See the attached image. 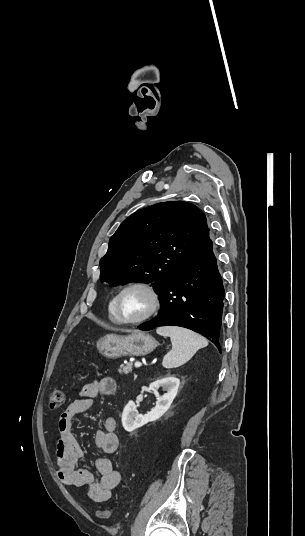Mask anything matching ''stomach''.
Wrapping results in <instances>:
<instances>
[{
    "instance_id": "1",
    "label": "stomach",
    "mask_w": 305,
    "mask_h": 536,
    "mask_svg": "<svg viewBox=\"0 0 305 536\" xmlns=\"http://www.w3.org/2000/svg\"><path fill=\"white\" fill-rule=\"evenodd\" d=\"M99 354L105 358H121V356H146L157 348V342L145 332H133L130 336L107 334L96 344Z\"/></svg>"
}]
</instances>
